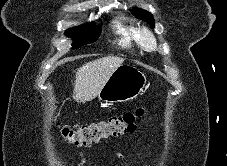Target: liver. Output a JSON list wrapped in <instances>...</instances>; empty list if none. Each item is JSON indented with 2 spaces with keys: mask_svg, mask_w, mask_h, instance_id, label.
<instances>
[{
  "mask_svg": "<svg viewBox=\"0 0 227 166\" xmlns=\"http://www.w3.org/2000/svg\"><path fill=\"white\" fill-rule=\"evenodd\" d=\"M123 62L121 57L108 56L82 65L76 71L73 99L78 103L93 100Z\"/></svg>",
  "mask_w": 227,
  "mask_h": 166,
  "instance_id": "6515ba94",
  "label": "liver"
}]
</instances>
